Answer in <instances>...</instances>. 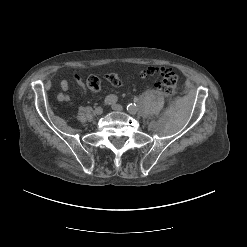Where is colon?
<instances>
[{
  "label": "colon",
  "instance_id": "colon-1",
  "mask_svg": "<svg viewBox=\"0 0 247 247\" xmlns=\"http://www.w3.org/2000/svg\"><path fill=\"white\" fill-rule=\"evenodd\" d=\"M143 76L149 75H158L160 76V80L157 82L156 87L165 94H172L174 93L177 83L179 80L178 74L169 67H147L142 70ZM106 79L115 84L119 85L120 80L115 73H108L106 75ZM88 88L93 92H98L100 90V79L96 76H91L87 80Z\"/></svg>",
  "mask_w": 247,
  "mask_h": 247
}]
</instances>
